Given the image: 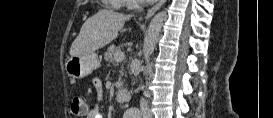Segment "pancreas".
Returning a JSON list of instances; mask_svg holds the SVG:
<instances>
[{
    "instance_id": "1",
    "label": "pancreas",
    "mask_w": 273,
    "mask_h": 118,
    "mask_svg": "<svg viewBox=\"0 0 273 118\" xmlns=\"http://www.w3.org/2000/svg\"><path fill=\"white\" fill-rule=\"evenodd\" d=\"M117 52H121L120 48L119 47H116L115 45H111L108 50L105 52L104 54V58L107 62H113L114 61V55L115 53ZM123 86V82L120 80L118 83H117V88H122Z\"/></svg>"
}]
</instances>
